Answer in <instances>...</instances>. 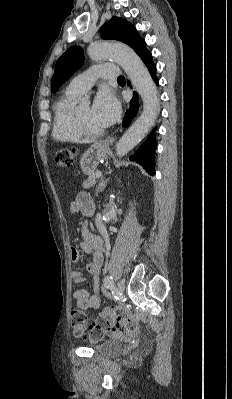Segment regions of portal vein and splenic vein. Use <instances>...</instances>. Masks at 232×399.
<instances>
[{
    "label": "portal vein and splenic vein",
    "mask_w": 232,
    "mask_h": 399,
    "mask_svg": "<svg viewBox=\"0 0 232 399\" xmlns=\"http://www.w3.org/2000/svg\"><path fill=\"white\" fill-rule=\"evenodd\" d=\"M101 176H102V172H97L96 178H101Z\"/></svg>",
    "instance_id": "1"
}]
</instances>
